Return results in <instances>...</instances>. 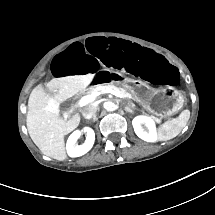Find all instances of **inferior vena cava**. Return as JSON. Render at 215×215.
Masks as SVG:
<instances>
[{
    "label": "inferior vena cava",
    "instance_id": "602c4592",
    "mask_svg": "<svg viewBox=\"0 0 215 215\" xmlns=\"http://www.w3.org/2000/svg\"><path fill=\"white\" fill-rule=\"evenodd\" d=\"M97 112V107L94 105H87L82 109V115L85 119H92Z\"/></svg>",
    "mask_w": 215,
    "mask_h": 215
}]
</instances>
